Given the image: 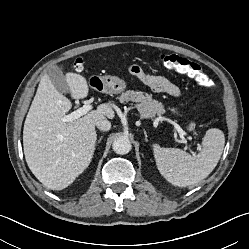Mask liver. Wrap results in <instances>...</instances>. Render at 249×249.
Segmentation results:
<instances>
[{
	"instance_id": "1",
	"label": "liver",
	"mask_w": 249,
	"mask_h": 249,
	"mask_svg": "<svg viewBox=\"0 0 249 249\" xmlns=\"http://www.w3.org/2000/svg\"><path fill=\"white\" fill-rule=\"evenodd\" d=\"M65 78L73 99L88 96L84 76L68 72ZM71 108L70 100L44 75L24 123L23 147L31 172L52 190L66 188L89 166L97 140L96 122L115 116L111 106L104 103L81 118L63 122Z\"/></svg>"
}]
</instances>
